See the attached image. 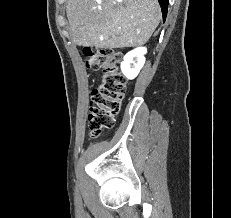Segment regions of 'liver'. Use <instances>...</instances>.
Instances as JSON below:
<instances>
[{
	"label": "liver",
	"mask_w": 231,
	"mask_h": 218,
	"mask_svg": "<svg viewBox=\"0 0 231 218\" xmlns=\"http://www.w3.org/2000/svg\"><path fill=\"white\" fill-rule=\"evenodd\" d=\"M66 12L74 44L96 49L143 45L161 19L157 0H67Z\"/></svg>",
	"instance_id": "1"
}]
</instances>
